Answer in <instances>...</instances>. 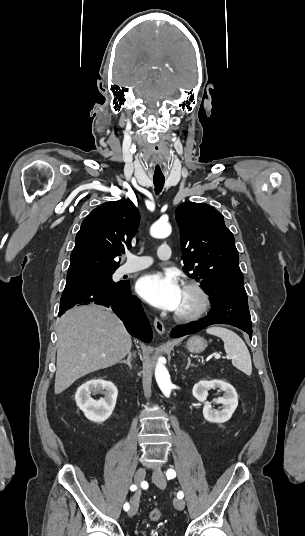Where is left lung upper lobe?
<instances>
[{
    "label": "left lung upper lobe",
    "mask_w": 305,
    "mask_h": 536,
    "mask_svg": "<svg viewBox=\"0 0 305 536\" xmlns=\"http://www.w3.org/2000/svg\"><path fill=\"white\" fill-rule=\"evenodd\" d=\"M184 271L210 293H246L239 253L223 216L204 203L176 209Z\"/></svg>",
    "instance_id": "obj_1"
}]
</instances>
